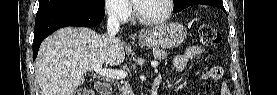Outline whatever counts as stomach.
<instances>
[{"instance_id":"obj_1","label":"stomach","mask_w":277,"mask_h":95,"mask_svg":"<svg viewBox=\"0 0 277 95\" xmlns=\"http://www.w3.org/2000/svg\"><path fill=\"white\" fill-rule=\"evenodd\" d=\"M186 36V28L182 24L172 22L143 31L140 42L156 49H172L182 44Z\"/></svg>"}]
</instances>
